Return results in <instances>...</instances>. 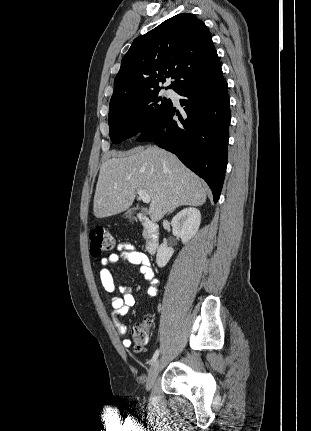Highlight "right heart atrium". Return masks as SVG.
Instances as JSON below:
<instances>
[{
  "label": "right heart atrium",
  "instance_id": "1",
  "mask_svg": "<svg viewBox=\"0 0 311 431\" xmlns=\"http://www.w3.org/2000/svg\"><path fill=\"white\" fill-rule=\"evenodd\" d=\"M134 117L138 125L144 126L149 118V111L144 104H138L134 108Z\"/></svg>",
  "mask_w": 311,
  "mask_h": 431
}]
</instances>
